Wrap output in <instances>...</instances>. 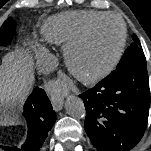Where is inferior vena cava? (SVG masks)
<instances>
[{"label":"inferior vena cava","instance_id":"obj_1","mask_svg":"<svg viewBox=\"0 0 151 151\" xmlns=\"http://www.w3.org/2000/svg\"><path fill=\"white\" fill-rule=\"evenodd\" d=\"M58 66V59L53 54H47L41 60V69L46 72H52ZM53 104L56 103L53 101Z\"/></svg>","mask_w":151,"mask_h":151}]
</instances>
